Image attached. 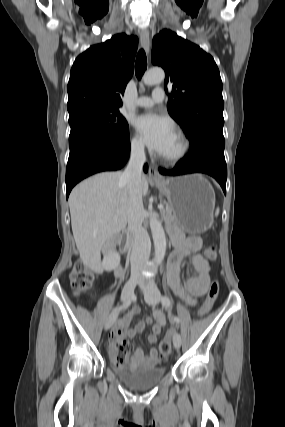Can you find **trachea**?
Segmentation results:
<instances>
[{
    "mask_svg": "<svg viewBox=\"0 0 285 427\" xmlns=\"http://www.w3.org/2000/svg\"><path fill=\"white\" fill-rule=\"evenodd\" d=\"M147 69V58L145 51L140 49L136 57L135 73L138 79H141Z\"/></svg>",
    "mask_w": 285,
    "mask_h": 427,
    "instance_id": "3493384b",
    "label": "trachea"
}]
</instances>
